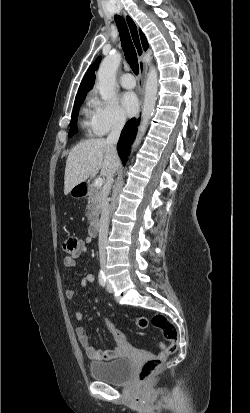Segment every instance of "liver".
<instances>
[{"label":"liver","instance_id":"1","mask_svg":"<svg viewBox=\"0 0 250 413\" xmlns=\"http://www.w3.org/2000/svg\"><path fill=\"white\" fill-rule=\"evenodd\" d=\"M120 166V160L114 150L103 138L88 139L78 143L69 152L65 167L64 194L68 195L73 187L84 182L99 170L108 177Z\"/></svg>","mask_w":250,"mask_h":413}]
</instances>
